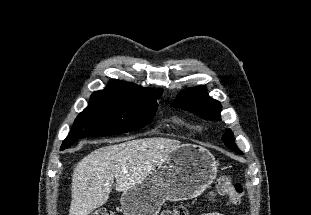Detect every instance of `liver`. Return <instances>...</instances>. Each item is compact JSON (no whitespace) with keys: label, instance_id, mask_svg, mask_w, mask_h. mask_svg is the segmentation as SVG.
Instances as JSON below:
<instances>
[{"label":"liver","instance_id":"liver-1","mask_svg":"<svg viewBox=\"0 0 311 215\" xmlns=\"http://www.w3.org/2000/svg\"><path fill=\"white\" fill-rule=\"evenodd\" d=\"M85 156L72 175L69 215H88L104 205L114 179L117 192H125L142 181L166 156L181 146L179 140L154 137L114 141Z\"/></svg>","mask_w":311,"mask_h":215}]
</instances>
